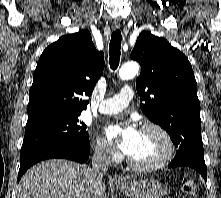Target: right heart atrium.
I'll return each mask as SVG.
<instances>
[{"label":"right heart atrium","instance_id":"1","mask_svg":"<svg viewBox=\"0 0 221 198\" xmlns=\"http://www.w3.org/2000/svg\"><path fill=\"white\" fill-rule=\"evenodd\" d=\"M95 156L106 162H112L117 160L118 154L114 149L102 138H97L94 143Z\"/></svg>","mask_w":221,"mask_h":198}]
</instances>
